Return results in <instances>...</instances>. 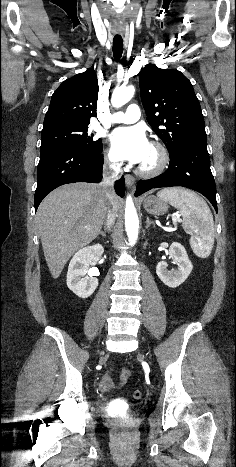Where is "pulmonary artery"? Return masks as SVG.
<instances>
[{
	"instance_id": "pulmonary-artery-1",
	"label": "pulmonary artery",
	"mask_w": 236,
	"mask_h": 467,
	"mask_svg": "<svg viewBox=\"0 0 236 467\" xmlns=\"http://www.w3.org/2000/svg\"><path fill=\"white\" fill-rule=\"evenodd\" d=\"M140 108L136 104H130L126 111H119L113 114V123H133L140 118Z\"/></svg>"
}]
</instances>
